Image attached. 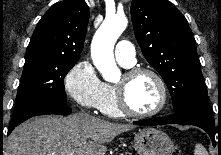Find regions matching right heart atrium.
Here are the masks:
<instances>
[{
    "mask_svg": "<svg viewBox=\"0 0 221 155\" xmlns=\"http://www.w3.org/2000/svg\"><path fill=\"white\" fill-rule=\"evenodd\" d=\"M64 87L71 99L86 109H99L104 98V82L86 59L79 61L68 71Z\"/></svg>",
    "mask_w": 221,
    "mask_h": 155,
    "instance_id": "d8ad5b80",
    "label": "right heart atrium"
}]
</instances>
